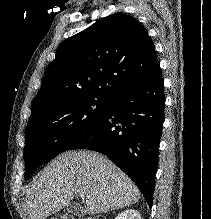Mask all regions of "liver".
Wrapping results in <instances>:
<instances>
[{
	"instance_id": "1",
	"label": "liver",
	"mask_w": 211,
	"mask_h": 219,
	"mask_svg": "<svg viewBox=\"0 0 211 219\" xmlns=\"http://www.w3.org/2000/svg\"><path fill=\"white\" fill-rule=\"evenodd\" d=\"M86 198L84 212L105 213L140 200V191L111 160L97 152L68 151L44 168L29 186V219H46L65 208L75 195Z\"/></svg>"
}]
</instances>
